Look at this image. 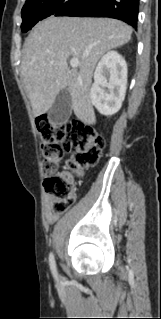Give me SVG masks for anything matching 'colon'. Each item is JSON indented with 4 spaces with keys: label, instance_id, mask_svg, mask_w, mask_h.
<instances>
[{
    "label": "colon",
    "instance_id": "1",
    "mask_svg": "<svg viewBox=\"0 0 161 319\" xmlns=\"http://www.w3.org/2000/svg\"><path fill=\"white\" fill-rule=\"evenodd\" d=\"M42 153L41 170L44 188L51 195V212L65 213L76 198L75 186L69 172L81 173L84 167L96 163L104 140L95 130L82 122H53L40 119L36 125ZM72 153L67 171H59L64 153Z\"/></svg>",
    "mask_w": 161,
    "mask_h": 319
}]
</instances>
